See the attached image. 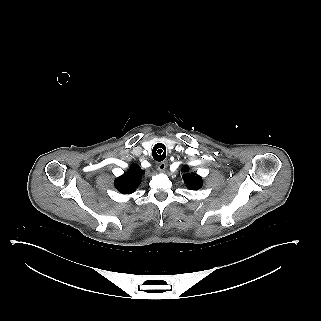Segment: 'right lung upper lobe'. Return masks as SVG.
Wrapping results in <instances>:
<instances>
[{"instance_id":"right-lung-upper-lobe-1","label":"right lung upper lobe","mask_w":321,"mask_h":321,"mask_svg":"<svg viewBox=\"0 0 321 321\" xmlns=\"http://www.w3.org/2000/svg\"><path fill=\"white\" fill-rule=\"evenodd\" d=\"M144 171L136 164H132L124 175L115 180L116 189L122 194H131L141 182Z\"/></svg>"}]
</instances>
